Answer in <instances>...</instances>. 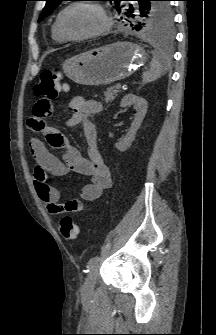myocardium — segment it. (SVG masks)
I'll list each match as a JSON object with an SVG mask.
<instances>
[{
	"mask_svg": "<svg viewBox=\"0 0 216 335\" xmlns=\"http://www.w3.org/2000/svg\"><path fill=\"white\" fill-rule=\"evenodd\" d=\"M77 6H90L94 9H96L104 19L103 27L98 29V30H95L93 32L86 33V34H83V35L73 36V35L67 34L62 28V24H61L62 18L67 11H69L70 9H72L74 7H77ZM55 27H56L58 33L61 35V37L64 38L65 40L81 41V40H87V39L100 37V36H103V35L107 34L113 27V19L111 18V16L108 14L107 10L101 4H98L96 2L77 1V2L70 3L69 5H67L65 8H63L59 12V14L56 18V21H55Z\"/></svg>",
	"mask_w": 216,
	"mask_h": 335,
	"instance_id": "myocardium-1",
	"label": "myocardium"
}]
</instances>
